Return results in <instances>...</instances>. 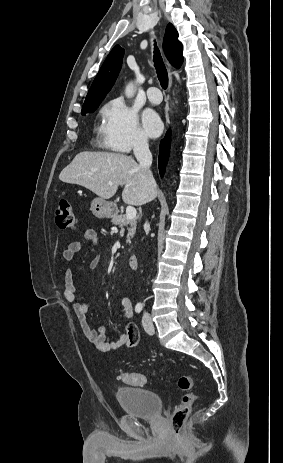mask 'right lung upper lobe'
I'll return each mask as SVG.
<instances>
[{
	"instance_id": "right-lung-upper-lobe-1",
	"label": "right lung upper lobe",
	"mask_w": 283,
	"mask_h": 463,
	"mask_svg": "<svg viewBox=\"0 0 283 463\" xmlns=\"http://www.w3.org/2000/svg\"><path fill=\"white\" fill-rule=\"evenodd\" d=\"M163 47L170 63L179 68L183 62L182 44L178 40L177 30L171 23L167 25ZM123 55L124 49L120 45L112 49L95 77L83 107L101 103L114 85L121 69Z\"/></svg>"
}]
</instances>
